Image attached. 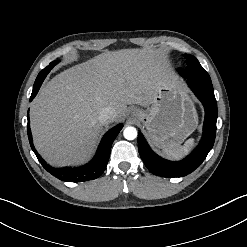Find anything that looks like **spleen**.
I'll return each instance as SVG.
<instances>
[{
  "label": "spleen",
  "instance_id": "obj_1",
  "mask_svg": "<svg viewBox=\"0 0 247 247\" xmlns=\"http://www.w3.org/2000/svg\"><path fill=\"white\" fill-rule=\"evenodd\" d=\"M194 146V139H188L183 146H174V147H167L163 149V153L172 159H179L182 156L186 155L189 150Z\"/></svg>",
  "mask_w": 247,
  "mask_h": 247
}]
</instances>
